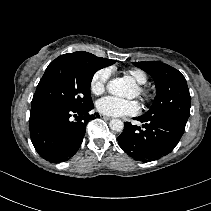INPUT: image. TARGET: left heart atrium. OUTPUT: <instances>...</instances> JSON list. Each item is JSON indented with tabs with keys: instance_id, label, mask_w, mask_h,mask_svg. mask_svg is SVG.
<instances>
[{
	"instance_id": "obj_1",
	"label": "left heart atrium",
	"mask_w": 211,
	"mask_h": 211,
	"mask_svg": "<svg viewBox=\"0 0 211 211\" xmlns=\"http://www.w3.org/2000/svg\"><path fill=\"white\" fill-rule=\"evenodd\" d=\"M97 110L109 116H124L136 114L140 106L137 101L127 100L115 96H106L96 103Z\"/></svg>"
}]
</instances>
